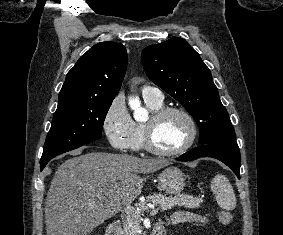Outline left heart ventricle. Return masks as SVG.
Instances as JSON below:
<instances>
[{"mask_svg": "<svg viewBox=\"0 0 283 235\" xmlns=\"http://www.w3.org/2000/svg\"><path fill=\"white\" fill-rule=\"evenodd\" d=\"M187 120L178 113H170L160 120L153 129L154 145L164 151L182 146L189 136Z\"/></svg>", "mask_w": 283, "mask_h": 235, "instance_id": "obj_1", "label": "left heart ventricle"}]
</instances>
